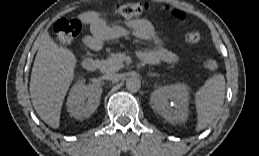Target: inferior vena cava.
<instances>
[{
    "label": "inferior vena cava",
    "mask_w": 259,
    "mask_h": 156,
    "mask_svg": "<svg viewBox=\"0 0 259 156\" xmlns=\"http://www.w3.org/2000/svg\"><path fill=\"white\" fill-rule=\"evenodd\" d=\"M118 77H119V74L111 72V73L105 74L103 78L105 80H116L118 79Z\"/></svg>",
    "instance_id": "1"
}]
</instances>
